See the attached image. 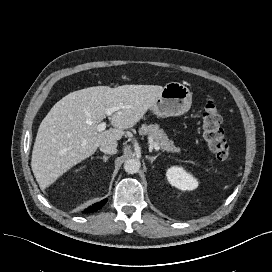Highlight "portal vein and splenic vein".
Instances as JSON below:
<instances>
[{
  "instance_id": "18ae733b",
  "label": "portal vein and splenic vein",
  "mask_w": 272,
  "mask_h": 272,
  "mask_svg": "<svg viewBox=\"0 0 272 272\" xmlns=\"http://www.w3.org/2000/svg\"><path fill=\"white\" fill-rule=\"evenodd\" d=\"M119 109H120L119 106H117V107H111V108H106L105 109V115L106 116H111L114 112L118 111ZM106 126H107L106 122L103 121V122H101V123L98 124L97 130L99 132H102V131H104L106 129ZM152 146L154 147V149L156 151L160 150V146L156 142L152 143Z\"/></svg>"
}]
</instances>
